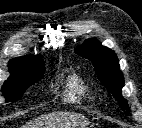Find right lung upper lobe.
<instances>
[{"instance_id":"1","label":"right lung upper lobe","mask_w":142,"mask_h":128,"mask_svg":"<svg viewBox=\"0 0 142 128\" xmlns=\"http://www.w3.org/2000/svg\"><path fill=\"white\" fill-rule=\"evenodd\" d=\"M40 63H44L43 59L33 55L11 59L8 64L11 76L8 80L20 77L28 69Z\"/></svg>"}]
</instances>
